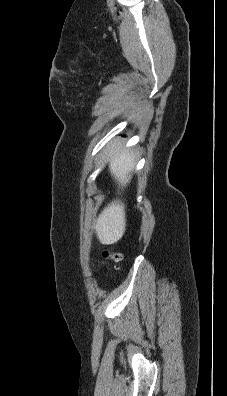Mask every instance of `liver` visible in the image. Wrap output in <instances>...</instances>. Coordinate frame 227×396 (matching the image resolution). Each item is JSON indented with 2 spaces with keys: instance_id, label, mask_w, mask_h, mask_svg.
I'll return each instance as SVG.
<instances>
[{
  "instance_id": "1",
  "label": "liver",
  "mask_w": 227,
  "mask_h": 396,
  "mask_svg": "<svg viewBox=\"0 0 227 396\" xmlns=\"http://www.w3.org/2000/svg\"><path fill=\"white\" fill-rule=\"evenodd\" d=\"M122 145L111 146L108 160L112 176L119 186L125 187L131 179L134 168V153L129 150L121 151ZM94 229L100 243L110 245L119 241L126 230L125 206L120 200L108 204L100 213Z\"/></svg>"
}]
</instances>
